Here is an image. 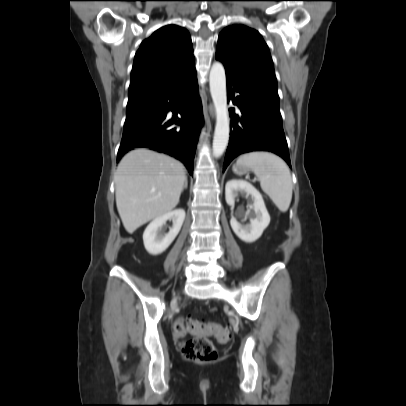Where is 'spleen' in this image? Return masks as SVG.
Returning a JSON list of instances; mask_svg holds the SVG:
<instances>
[{
  "mask_svg": "<svg viewBox=\"0 0 406 406\" xmlns=\"http://www.w3.org/2000/svg\"><path fill=\"white\" fill-rule=\"evenodd\" d=\"M237 163L248 166L258 177L262 190L281 212H286L292 200V177L287 164L268 152L241 155Z\"/></svg>",
  "mask_w": 406,
  "mask_h": 406,
  "instance_id": "spleen-1",
  "label": "spleen"
}]
</instances>
